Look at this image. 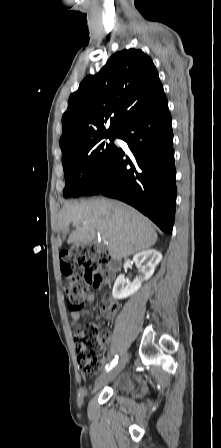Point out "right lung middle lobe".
<instances>
[{"label": "right lung middle lobe", "instance_id": "right-lung-middle-lobe-1", "mask_svg": "<svg viewBox=\"0 0 221 448\" xmlns=\"http://www.w3.org/2000/svg\"><path fill=\"white\" fill-rule=\"evenodd\" d=\"M116 137H118V134L92 140L70 156L62 159L66 182L63 191L65 198L83 195L116 151L117 146L113 144ZM106 139H109L110 142H107Z\"/></svg>", "mask_w": 221, "mask_h": 448}]
</instances>
